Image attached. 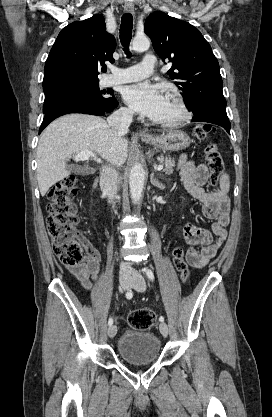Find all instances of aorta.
Returning <instances> with one entry per match:
<instances>
[{
	"mask_svg": "<svg viewBox=\"0 0 272 417\" xmlns=\"http://www.w3.org/2000/svg\"><path fill=\"white\" fill-rule=\"evenodd\" d=\"M150 47V40L146 36H136L132 41V49L137 52L148 50ZM145 180V172L140 163H135L130 171L129 188L130 194L137 203L142 195Z\"/></svg>",
	"mask_w": 272,
	"mask_h": 417,
	"instance_id": "aorta-1",
	"label": "aorta"
}]
</instances>
